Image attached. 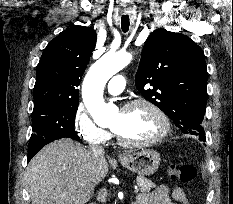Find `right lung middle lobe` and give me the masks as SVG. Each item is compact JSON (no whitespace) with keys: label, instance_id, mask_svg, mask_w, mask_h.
I'll list each match as a JSON object with an SVG mask.
<instances>
[{"label":"right lung middle lobe","instance_id":"dd1d6c3e","mask_svg":"<svg viewBox=\"0 0 233 204\" xmlns=\"http://www.w3.org/2000/svg\"><path fill=\"white\" fill-rule=\"evenodd\" d=\"M77 109V102L34 109L29 149H40L49 142L64 137L79 140L74 130Z\"/></svg>","mask_w":233,"mask_h":204}]
</instances>
